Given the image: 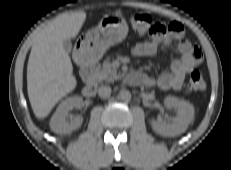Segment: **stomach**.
<instances>
[{
	"label": "stomach",
	"mask_w": 231,
	"mask_h": 170,
	"mask_svg": "<svg viewBox=\"0 0 231 170\" xmlns=\"http://www.w3.org/2000/svg\"><path fill=\"white\" fill-rule=\"evenodd\" d=\"M128 25L124 18L112 14L104 16L97 27L88 30L80 40L81 48L94 58H100L105 51L125 39Z\"/></svg>",
	"instance_id": "1"
}]
</instances>
